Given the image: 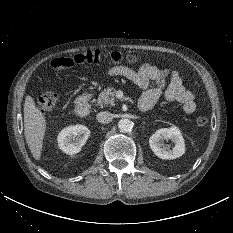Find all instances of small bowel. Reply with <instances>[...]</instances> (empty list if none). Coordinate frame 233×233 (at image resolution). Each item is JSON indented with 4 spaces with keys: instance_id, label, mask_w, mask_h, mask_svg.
I'll return each instance as SVG.
<instances>
[{
    "instance_id": "c3829d8e",
    "label": "small bowel",
    "mask_w": 233,
    "mask_h": 233,
    "mask_svg": "<svg viewBox=\"0 0 233 233\" xmlns=\"http://www.w3.org/2000/svg\"><path fill=\"white\" fill-rule=\"evenodd\" d=\"M106 74L111 77H124L145 90L139 99V108L142 111L151 109L161 96H164L167 102L181 104L187 114L196 110L195 94L183 86L181 76L177 72L145 63L138 70L116 65L109 68ZM151 83L155 86L150 87Z\"/></svg>"
}]
</instances>
